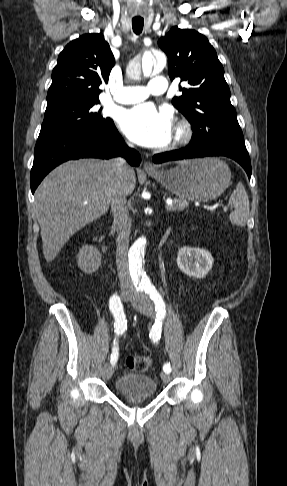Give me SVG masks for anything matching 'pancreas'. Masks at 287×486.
<instances>
[{
  "label": "pancreas",
  "instance_id": "pancreas-1",
  "mask_svg": "<svg viewBox=\"0 0 287 486\" xmlns=\"http://www.w3.org/2000/svg\"><path fill=\"white\" fill-rule=\"evenodd\" d=\"M189 205V202L187 200L181 199V198H174L173 199V205L171 207H167L168 211H182L186 209Z\"/></svg>",
  "mask_w": 287,
  "mask_h": 486
}]
</instances>
